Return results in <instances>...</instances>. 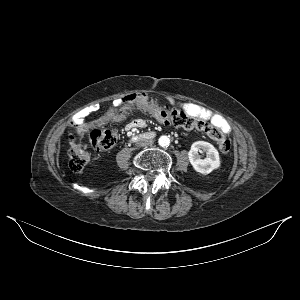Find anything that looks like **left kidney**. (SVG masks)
<instances>
[{"mask_svg":"<svg viewBox=\"0 0 300 300\" xmlns=\"http://www.w3.org/2000/svg\"><path fill=\"white\" fill-rule=\"evenodd\" d=\"M200 151L206 152V158L201 159L198 153ZM188 157L195 171L202 174L211 173L213 170L219 168L221 164L217 149L211 143L205 141L194 142L188 152Z\"/></svg>","mask_w":300,"mask_h":300,"instance_id":"1","label":"left kidney"}]
</instances>
